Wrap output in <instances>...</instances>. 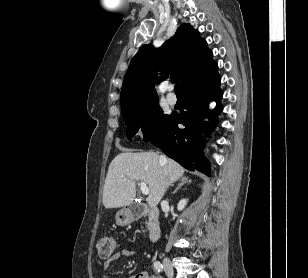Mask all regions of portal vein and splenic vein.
Returning a JSON list of instances; mask_svg holds the SVG:
<instances>
[{"instance_id":"18ae733b","label":"portal vein and splenic vein","mask_w":308,"mask_h":278,"mask_svg":"<svg viewBox=\"0 0 308 278\" xmlns=\"http://www.w3.org/2000/svg\"><path fill=\"white\" fill-rule=\"evenodd\" d=\"M140 188H141V191L144 195H148L149 194V189L146 185L145 182L141 181L140 184H139Z\"/></svg>"}]
</instances>
